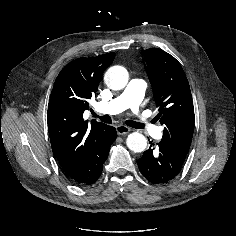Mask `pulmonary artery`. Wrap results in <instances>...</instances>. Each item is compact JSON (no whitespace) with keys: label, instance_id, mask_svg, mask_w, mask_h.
Here are the masks:
<instances>
[{"label":"pulmonary artery","instance_id":"pulmonary-artery-1","mask_svg":"<svg viewBox=\"0 0 236 236\" xmlns=\"http://www.w3.org/2000/svg\"><path fill=\"white\" fill-rule=\"evenodd\" d=\"M147 83L143 79L133 78L126 88L117 97L107 103L97 105L99 112L114 115L128 108L137 111L140 102L145 94ZM136 121L141 124L144 130L152 136L159 135V128L144 116H138Z\"/></svg>","mask_w":236,"mask_h":236}]
</instances>
